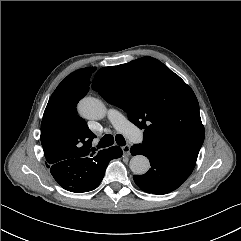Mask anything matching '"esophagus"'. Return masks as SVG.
<instances>
[{
	"mask_svg": "<svg viewBox=\"0 0 241 241\" xmlns=\"http://www.w3.org/2000/svg\"><path fill=\"white\" fill-rule=\"evenodd\" d=\"M122 152L125 156H129L130 155V146L129 145H125L122 147Z\"/></svg>",
	"mask_w": 241,
	"mask_h": 241,
	"instance_id": "34e87169",
	"label": "esophagus"
}]
</instances>
